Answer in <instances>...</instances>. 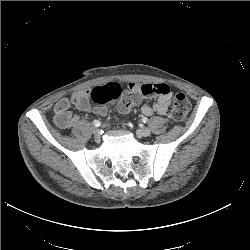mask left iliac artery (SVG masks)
Segmentation results:
<instances>
[{
  "label": "left iliac artery",
  "instance_id": "1",
  "mask_svg": "<svg viewBox=\"0 0 250 250\" xmlns=\"http://www.w3.org/2000/svg\"><path fill=\"white\" fill-rule=\"evenodd\" d=\"M142 121H143L144 123H147V122H148V118L143 117V118H142Z\"/></svg>",
  "mask_w": 250,
  "mask_h": 250
}]
</instances>
